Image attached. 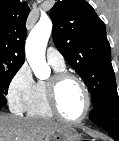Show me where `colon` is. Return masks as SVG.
I'll return each instance as SVG.
<instances>
[{
  "label": "colon",
  "mask_w": 119,
  "mask_h": 141,
  "mask_svg": "<svg viewBox=\"0 0 119 141\" xmlns=\"http://www.w3.org/2000/svg\"><path fill=\"white\" fill-rule=\"evenodd\" d=\"M81 141H88L87 139H82Z\"/></svg>",
  "instance_id": "obj_1"
}]
</instances>
